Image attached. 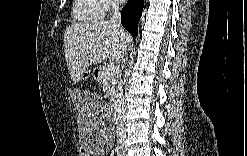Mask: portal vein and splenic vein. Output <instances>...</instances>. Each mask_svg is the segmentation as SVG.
I'll list each match as a JSON object with an SVG mask.
<instances>
[{
	"mask_svg": "<svg viewBox=\"0 0 247 156\" xmlns=\"http://www.w3.org/2000/svg\"><path fill=\"white\" fill-rule=\"evenodd\" d=\"M117 72V67L115 65H108L106 67V74L115 75Z\"/></svg>",
	"mask_w": 247,
	"mask_h": 156,
	"instance_id": "portal-vein-and-splenic-vein-1",
	"label": "portal vein and splenic vein"
}]
</instances>
